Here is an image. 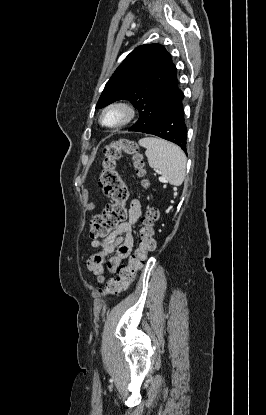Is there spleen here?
I'll return each instance as SVG.
<instances>
[{"mask_svg": "<svg viewBox=\"0 0 266 415\" xmlns=\"http://www.w3.org/2000/svg\"><path fill=\"white\" fill-rule=\"evenodd\" d=\"M139 145L146 148V157L150 167L160 170V181L173 186H180L186 174V156L180 147L156 137L139 140Z\"/></svg>", "mask_w": 266, "mask_h": 415, "instance_id": "obj_1", "label": "spleen"}]
</instances>
